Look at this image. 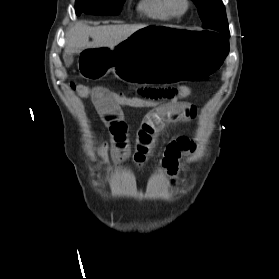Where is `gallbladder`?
<instances>
[{
	"label": "gallbladder",
	"instance_id": "obj_1",
	"mask_svg": "<svg viewBox=\"0 0 279 279\" xmlns=\"http://www.w3.org/2000/svg\"><path fill=\"white\" fill-rule=\"evenodd\" d=\"M63 59L67 67H69L74 61L73 55L67 53H64Z\"/></svg>",
	"mask_w": 279,
	"mask_h": 279
}]
</instances>
